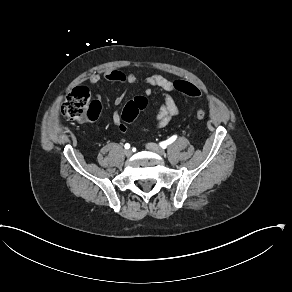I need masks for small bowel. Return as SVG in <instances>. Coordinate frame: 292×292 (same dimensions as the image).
I'll return each mask as SVG.
<instances>
[{"instance_id": "obj_1", "label": "small bowel", "mask_w": 292, "mask_h": 292, "mask_svg": "<svg viewBox=\"0 0 292 292\" xmlns=\"http://www.w3.org/2000/svg\"><path fill=\"white\" fill-rule=\"evenodd\" d=\"M102 80L122 84L144 83L147 85V88L144 90V93L147 96H150L154 90L161 91L163 93V98L159 104V109L155 116V126L158 128L167 126L179 113V107L171 95L177 92L174 87V82L161 74L154 73L141 77L134 72L109 69L103 73H92L89 77V85L94 87ZM97 97L99 96L97 95ZM123 100L124 94H120L115 98L114 103L116 106H120ZM112 121L119 127L122 134L127 133V127L122 124L121 113L118 109L113 112Z\"/></svg>"}]
</instances>
